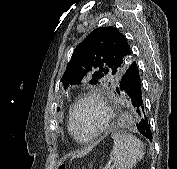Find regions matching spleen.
Returning a JSON list of instances; mask_svg holds the SVG:
<instances>
[{
    "mask_svg": "<svg viewBox=\"0 0 177 169\" xmlns=\"http://www.w3.org/2000/svg\"><path fill=\"white\" fill-rule=\"evenodd\" d=\"M114 145L110 153L116 169H132L143 159L144 149L142 142L129 133L115 132L111 135Z\"/></svg>",
    "mask_w": 177,
    "mask_h": 169,
    "instance_id": "3e777b00",
    "label": "spleen"
}]
</instances>
